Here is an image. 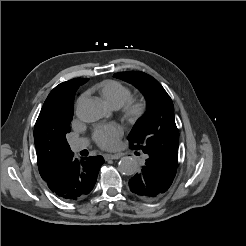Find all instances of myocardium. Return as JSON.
Listing matches in <instances>:
<instances>
[{
	"label": "myocardium",
	"instance_id": "myocardium-1",
	"mask_svg": "<svg viewBox=\"0 0 246 246\" xmlns=\"http://www.w3.org/2000/svg\"><path fill=\"white\" fill-rule=\"evenodd\" d=\"M147 111L148 103L142 97H131L120 107L123 118L132 123L140 121Z\"/></svg>",
	"mask_w": 246,
	"mask_h": 246
}]
</instances>
